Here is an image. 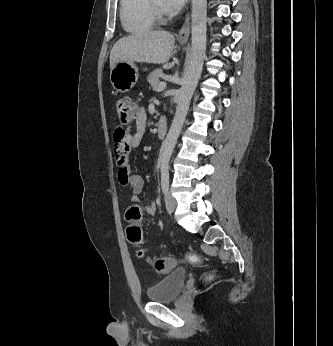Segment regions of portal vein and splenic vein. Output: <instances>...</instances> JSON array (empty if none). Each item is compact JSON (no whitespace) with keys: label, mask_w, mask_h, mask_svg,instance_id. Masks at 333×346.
I'll return each instance as SVG.
<instances>
[{"label":"portal vein and splenic vein","mask_w":333,"mask_h":346,"mask_svg":"<svg viewBox=\"0 0 333 346\" xmlns=\"http://www.w3.org/2000/svg\"><path fill=\"white\" fill-rule=\"evenodd\" d=\"M166 88V82H160V84L158 85L157 91H163Z\"/></svg>","instance_id":"obj_1"}]
</instances>
